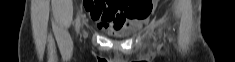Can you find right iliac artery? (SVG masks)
Here are the masks:
<instances>
[{
	"instance_id": "obj_1",
	"label": "right iliac artery",
	"mask_w": 235,
	"mask_h": 62,
	"mask_svg": "<svg viewBox=\"0 0 235 62\" xmlns=\"http://www.w3.org/2000/svg\"><path fill=\"white\" fill-rule=\"evenodd\" d=\"M75 27H76V30H78L79 27H80V18H79V16H78L77 19H76V25H75Z\"/></svg>"
}]
</instances>
